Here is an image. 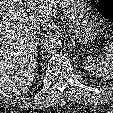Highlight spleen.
<instances>
[{
	"label": "spleen",
	"instance_id": "3e777b00",
	"mask_svg": "<svg viewBox=\"0 0 113 113\" xmlns=\"http://www.w3.org/2000/svg\"><path fill=\"white\" fill-rule=\"evenodd\" d=\"M85 69L95 77L113 79V42L106 48L105 54L98 57L88 56L85 60Z\"/></svg>",
	"mask_w": 113,
	"mask_h": 113
}]
</instances>
